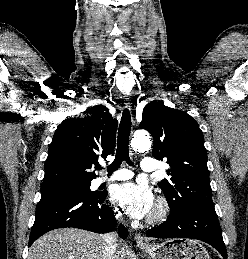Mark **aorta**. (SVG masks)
<instances>
[{
	"mask_svg": "<svg viewBox=\"0 0 248 259\" xmlns=\"http://www.w3.org/2000/svg\"><path fill=\"white\" fill-rule=\"evenodd\" d=\"M131 146L138 152L149 150L151 147L150 138L145 134H136L131 141Z\"/></svg>",
	"mask_w": 248,
	"mask_h": 259,
	"instance_id": "762f6f07",
	"label": "aorta"
}]
</instances>
